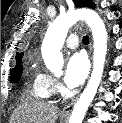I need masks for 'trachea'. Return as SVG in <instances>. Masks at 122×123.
<instances>
[{
	"mask_svg": "<svg viewBox=\"0 0 122 123\" xmlns=\"http://www.w3.org/2000/svg\"><path fill=\"white\" fill-rule=\"evenodd\" d=\"M83 43L84 44H88L89 43V37L88 36H84L83 37Z\"/></svg>",
	"mask_w": 122,
	"mask_h": 123,
	"instance_id": "1",
	"label": "trachea"
}]
</instances>
